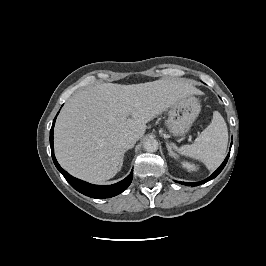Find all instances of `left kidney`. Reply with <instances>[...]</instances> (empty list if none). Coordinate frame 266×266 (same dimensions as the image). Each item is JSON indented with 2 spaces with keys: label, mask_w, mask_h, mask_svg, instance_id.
I'll return each mask as SVG.
<instances>
[{
  "label": "left kidney",
  "mask_w": 266,
  "mask_h": 266,
  "mask_svg": "<svg viewBox=\"0 0 266 266\" xmlns=\"http://www.w3.org/2000/svg\"><path fill=\"white\" fill-rule=\"evenodd\" d=\"M182 166L184 167V168H186L187 170H189V171H195L197 168L195 167V165H193V164H190V163H188V162H182Z\"/></svg>",
  "instance_id": "5707ae66"
}]
</instances>
